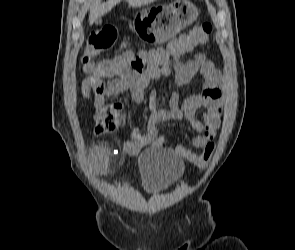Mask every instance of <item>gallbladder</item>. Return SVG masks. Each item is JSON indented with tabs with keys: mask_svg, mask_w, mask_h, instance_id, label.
<instances>
[{
	"mask_svg": "<svg viewBox=\"0 0 295 250\" xmlns=\"http://www.w3.org/2000/svg\"><path fill=\"white\" fill-rule=\"evenodd\" d=\"M95 24H96V25H100V24H101V19L96 20V21H95Z\"/></svg>",
	"mask_w": 295,
	"mask_h": 250,
	"instance_id": "obj_1",
	"label": "gallbladder"
}]
</instances>
